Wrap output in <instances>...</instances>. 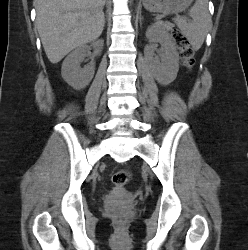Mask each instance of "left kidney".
<instances>
[{
  "label": "left kidney",
  "instance_id": "left-kidney-1",
  "mask_svg": "<svg viewBox=\"0 0 248 250\" xmlns=\"http://www.w3.org/2000/svg\"><path fill=\"white\" fill-rule=\"evenodd\" d=\"M146 37L150 42H158L162 46L161 63L155 58L152 72L158 83L168 85L174 81L179 70V55L175 44L169 33L157 24L148 27Z\"/></svg>",
  "mask_w": 248,
  "mask_h": 250
}]
</instances>
